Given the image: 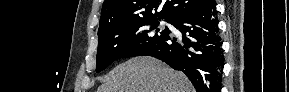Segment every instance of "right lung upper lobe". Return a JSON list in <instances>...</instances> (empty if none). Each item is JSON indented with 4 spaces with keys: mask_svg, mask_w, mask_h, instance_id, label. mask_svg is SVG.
I'll return each instance as SVG.
<instances>
[{
    "mask_svg": "<svg viewBox=\"0 0 289 92\" xmlns=\"http://www.w3.org/2000/svg\"><path fill=\"white\" fill-rule=\"evenodd\" d=\"M212 0H170L159 13L152 10L161 5V0H105L103 2L99 31L123 21L157 18L171 21L174 18L201 9Z\"/></svg>",
    "mask_w": 289,
    "mask_h": 92,
    "instance_id": "right-lung-upper-lobe-1",
    "label": "right lung upper lobe"
}]
</instances>
